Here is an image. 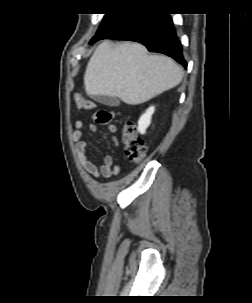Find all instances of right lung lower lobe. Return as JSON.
Instances as JSON below:
<instances>
[{"label":"right lung lower lobe","instance_id":"obj_1","mask_svg":"<svg viewBox=\"0 0 252 303\" xmlns=\"http://www.w3.org/2000/svg\"><path fill=\"white\" fill-rule=\"evenodd\" d=\"M129 40L142 43L151 52L168 55L187 67L172 19L164 13H125L100 39Z\"/></svg>","mask_w":252,"mask_h":303}]
</instances>
